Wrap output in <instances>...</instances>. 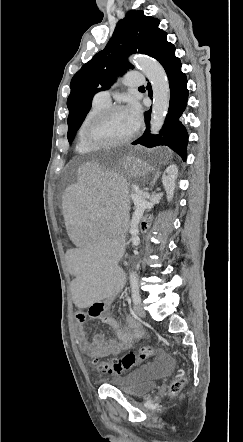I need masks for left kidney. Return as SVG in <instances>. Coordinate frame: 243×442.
Segmentation results:
<instances>
[{
    "mask_svg": "<svg viewBox=\"0 0 243 442\" xmlns=\"http://www.w3.org/2000/svg\"><path fill=\"white\" fill-rule=\"evenodd\" d=\"M178 173V168L176 165H170L164 172L162 176V183L165 187V190L168 194V200H171L174 188H175V179Z\"/></svg>",
    "mask_w": 243,
    "mask_h": 442,
    "instance_id": "obj_1",
    "label": "left kidney"
}]
</instances>
